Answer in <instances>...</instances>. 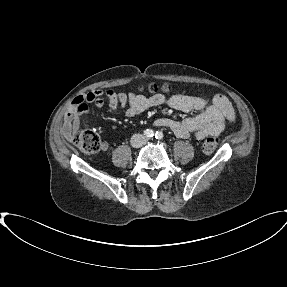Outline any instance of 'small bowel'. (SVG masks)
<instances>
[{"mask_svg": "<svg viewBox=\"0 0 287 287\" xmlns=\"http://www.w3.org/2000/svg\"><path fill=\"white\" fill-rule=\"evenodd\" d=\"M102 96L109 102V108L116 110L118 107L125 109L127 117H135L145 110L168 104L170 107L183 111H199L195 116L188 117L182 121L171 118H158L157 126L169 128L177 137L194 140H203L207 136H217L226 127L228 122L235 120V111L231 102L223 95H215L212 98L205 96L196 97L189 95H174L166 98L162 94L150 97L134 93H116L112 90L105 92L96 90L83 95L76 96L67 110L61 132L67 139L72 138L80 127L81 117L90 112L89 105L101 107ZM108 144H102V150H107Z\"/></svg>", "mask_w": 287, "mask_h": 287, "instance_id": "c3829d8e", "label": "small bowel"}]
</instances>
